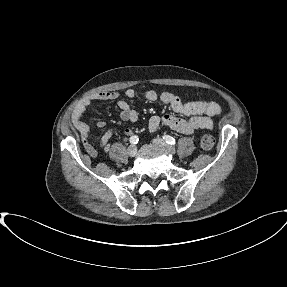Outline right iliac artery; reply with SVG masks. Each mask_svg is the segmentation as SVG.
Listing matches in <instances>:
<instances>
[{
	"mask_svg": "<svg viewBox=\"0 0 287 287\" xmlns=\"http://www.w3.org/2000/svg\"><path fill=\"white\" fill-rule=\"evenodd\" d=\"M129 141H130L131 144H137L138 141H139V138H138V136L133 135V136L130 137Z\"/></svg>",
	"mask_w": 287,
	"mask_h": 287,
	"instance_id": "82829eb1",
	"label": "right iliac artery"
}]
</instances>
